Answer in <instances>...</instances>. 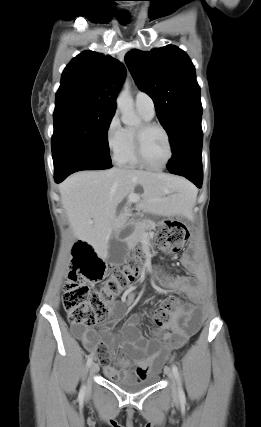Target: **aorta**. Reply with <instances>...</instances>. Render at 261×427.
Wrapping results in <instances>:
<instances>
[{
  "label": "aorta",
  "instance_id": "obj_1",
  "mask_svg": "<svg viewBox=\"0 0 261 427\" xmlns=\"http://www.w3.org/2000/svg\"><path fill=\"white\" fill-rule=\"evenodd\" d=\"M129 83L126 81L120 91L116 103L122 116L121 120L125 125H138L140 123L139 118L134 111V103L130 94Z\"/></svg>",
  "mask_w": 261,
  "mask_h": 427
}]
</instances>
